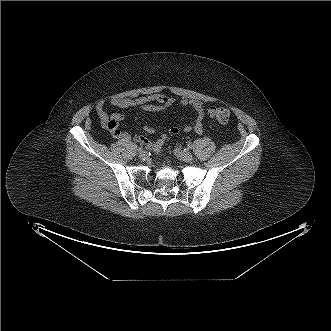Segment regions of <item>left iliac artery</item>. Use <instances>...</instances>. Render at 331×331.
I'll return each mask as SVG.
<instances>
[{
  "label": "left iliac artery",
  "instance_id": "44dca946",
  "mask_svg": "<svg viewBox=\"0 0 331 331\" xmlns=\"http://www.w3.org/2000/svg\"><path fill=\"white\" fill-rule=\"evenodd\" d=\"M187 147L191 149L193 147V145L191 143H188Z\"/></svg>",
  "mask_w": 331,
  "mask_h": 331
}]
</instances>
